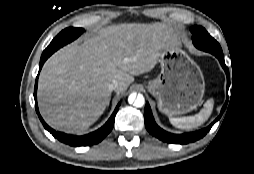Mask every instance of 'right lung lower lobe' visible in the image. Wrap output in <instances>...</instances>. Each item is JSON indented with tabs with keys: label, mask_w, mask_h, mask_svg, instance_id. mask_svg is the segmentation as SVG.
Returning a JSON list of instances; mask_svg holds the SVG:
<instances>
[{
	"label": "right lung lower lobe",
	"mask_w": 254,
	"mask_h": 174,
	"mask_svg": "<svg viewBox=\"0 0 254 174\" xmlns=\"http://www.w3.org/2000/svg\"><path fill=\"white\" fill-rule=\"evenodd\" d=\"M67 41L63 42L66 43ZM67 44V43H66ZM51 55V54H50ZM49 54H42L40 59V65H39V71L41 70L44 62L47 60V58L50 56ZM39 75V73H38ZM37 83H38V76L36 78L35 82V89H34V99H35V108L36 112L46 130H48L55 138H57L59 141L68 144L70 146H90L99 143L101 140H103L107 134L112 130L114 126L115 116L118 111V107L120 106V103L115 108L113 114L109 118V120L105 123L104 126H102L100 129L89 133L84 136H74V135H68L62 132H57L50 128L42 119L41 115L39 114L38 106H37Z\"/></svg>",
	"instance_id": "obj_1"
}]
</instances>
